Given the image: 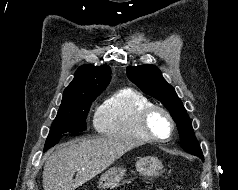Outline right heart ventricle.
Here are the masks:
<instances>
[{"label": "right heart ventricle", "instance_id": "e07e8e85", "mask_svg": "<svg viewBox=\"0 0 238 190\" xmlns=\"http://www.w3.org/2000/svg\"><path fill=\"white\" fill-rule=\"evenodd\" d=\"M152 102L142 93L123 88L107 97L97 108L94 124L103 135L135 141H150L140 126L141 112Z\"/></svg>", "mask_w": 238, "mask_h": 190}]
</instances>
